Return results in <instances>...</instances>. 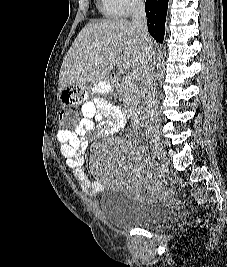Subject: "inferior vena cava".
<instances>
[{"label": "inferior vena cava", "mask_w": 227, "mask_h": 267, "mask_svg": "<svg viewBox=\"0 0 227 267\" xmlns=\"http://www.w3.org/2000/svg\"><path fill=\"white\" fill-rule=\"evenodd\" d=\"M132 25L139 32L144 46V56L140 71V91L143 102V119L147 137L158 134V114L156 101V88L154 82V52L146 44L149 36L147 31V19L142 0H134L132 5Z\"/></svg>", "instance_id": "inferior-vena-cava-1"}]
</instances>
